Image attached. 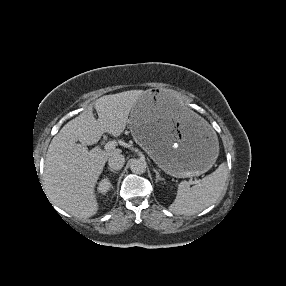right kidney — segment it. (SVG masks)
<instances>
[{
    "mask_svg": "<svg viewBox=\"0 0 286 286\" xmlns=\"http://www.w3.org/2000/svg\"><path fill=\"white\" fill-rule=\"evenodd\" d=\"M111 188V183L107 178L100 181L98 186V191L101 194H106Z\"/></svg>",
    "mask_w": 286,
    "mask_h": 286,
    "instance_id": "ca27d5eb",
    "label": "right kidney"
}]
</instances>
